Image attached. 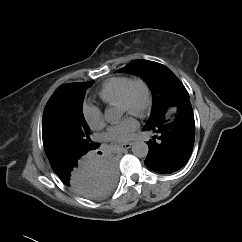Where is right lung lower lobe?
<instances>
[{"label": "right lung lower lobe", "mask_w": 242, "mask_h": 242, "mask_svg": "<svg viewBox=\"0 0 242 242\" xmlns=\"http://www.w3.org/2000/svg\"><path fill=\"white\" fill-rule=\"evenodd\" d=\"M60 180L77 194L101 200L111 194L117 183V169L112 156H82L52 166Z\"/></svg>", "instance_id": "1"}]
</instances>
